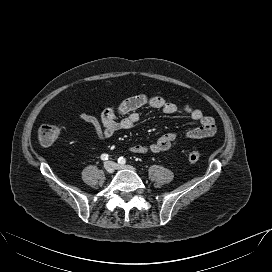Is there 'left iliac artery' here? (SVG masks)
Returning <instances> with one entry per match:
<instances>
[{"label":"left iliac artery","mask_w":272,"mask_h":272,"mask_svg":"<svg viewBox=\"0 0 272 272\" xmlns=\"http://www.w3.org/2000/svg\"><path fill=\"white\" fill-rule=\"evenodd\" d=\"M118 163L121 164V165H124L126 163V159L124 157H120L118 159Z\"/></svg>","instance_id":"44dca946"}]
</instances>
